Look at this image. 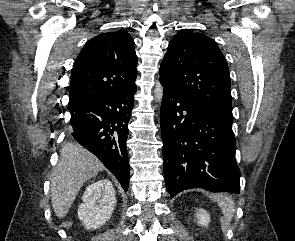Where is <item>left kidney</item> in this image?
I'll return each mask as SVG.
<instances>
[{
    "label": "left kidney",
    "instance_id": "left-kidney-1",
    "mask_svg": "<svg viewBox=\"0 0 295 241\" xmlns=\"http://www.w3.org/2000/svg\"><path fill=\"white\" fill-rule=\"evenodd\" d=\"M196 217L198 220V224L202 226H208V224L210 223V215L204 209H198L196 212Z\"/></svg>",
    "mask_w": 295,
    "mask_h": 241
}]
</instances>
